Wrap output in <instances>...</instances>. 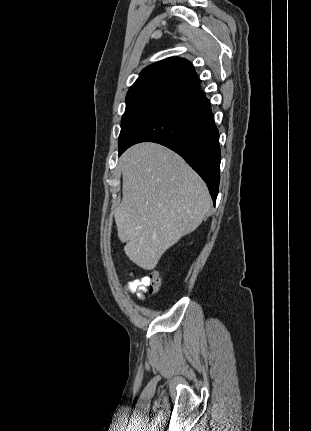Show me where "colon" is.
<instances>
[{"label": "colon", "mask_w": 311, "mask_h": 431, "mask_svg": "<svg viewBox=\"0 0 311 431\" xmlns=\"http://www.w3.org/2000/svg\"><path fill=\"white\" fill-rule=\"evenodd\" d=\"M149 278H150L151 290L157 291L160 288L163 281L161 273L158 271H155L150 275Z\"/></svg>", "instance_id": "5ec220e1"}]
</instances>
